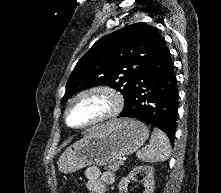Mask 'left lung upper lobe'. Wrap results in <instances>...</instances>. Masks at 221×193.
<instances>
[{
  "instance_id": "obj_1",
  "label": "left lung upper lobe",
  "mask_w": 221,
  "mask_h": 193,
  "mask_svg": "<svg viewBox=\"0 0 221 193\" xmlns=\"http://www.w3.org/2000/svg\"><path fill=\"white\" fill-rule=\"evenodd\" d=\"M165 48V39L158 29L144 22L103 36L76 64L61 102L80 90L100 85L120 91L126 101L136 77Z\"/></svg>"
}]
</instances>
